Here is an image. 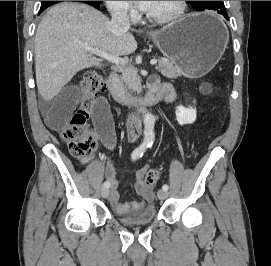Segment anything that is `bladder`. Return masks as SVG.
I'll return each instance as SVG.
<instances>
[{
	"label": "bladder",
	"mask_w": 271,
	"mask_h": 266,
	"mask_svg": "<svg viewBox=\"0 0 271 266\" xmlns=\"http://www.w3.org/2000/svg\"><path fill=\"white\" fill-rule=\"evenodd\" d=\"M156 216L157 212L155 207L148 206L147 208L141 210L136 216L116 215V219L124 225L142 226L152 223Z\"/></svg>",
	"instance_id": "bladder-1"
}]
</instances>
